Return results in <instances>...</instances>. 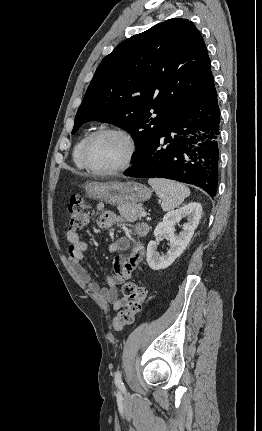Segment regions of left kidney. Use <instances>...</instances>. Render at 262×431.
Listing matches in <instances>:
<instances>
[{"mask_svg":"<svg viewBox=\"0 0 262 431\" xmlns=\"http://www.w3.org/2000/svg\"><path fill=\"white\" fill-rule=\"evenodd\" d=\"M201 215V204L190 203L182 208L168 212L163 217L162 222L154 230V236L169 235L170 249L165 255H160L157 251V241L148 243L146 260L151 269L160 270L169 267L184 252L199 224ZM183 218H187V222L183 225L179 235H175V224Z\"/></svg>","mask_w":262,"mask_h":431,"instance_id":"left-kidney-1","label":"left kidney"}]
</instances>
